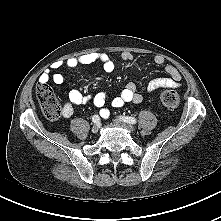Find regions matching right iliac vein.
<instances>
[{
    "label": "right iliac vein",
    "mask_w": 221,
    "mask_h": 221,
    "mask_svg": "<svg viewBox=\"0 0 221 221\" xmlns=\"http://www.w3.org/2000/svg\"><path fill=\"white\" fill-rule=\"evenodd\" d=\"M99 129H100L99 125L98 124H94L93 127H92V132L93 133H98Z\"/></svg>",
    "instance_id": "obj_1"
}]
</instances>
